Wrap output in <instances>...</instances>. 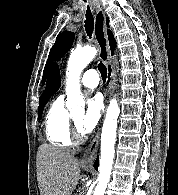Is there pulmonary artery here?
<instances>
[{
    "instance_id": "obj_1",
    "label": "pulmonary artery",
    "mask_w": 178,
    "mask_h": 195,
    "mask_svg": "<svg viewBox=\"0 0 178 195\" xmlns=\"http://www.w3.org/2000/svg\"><path fill=\"white\" fill-rule=\"evenodd\" d=\"M99 84V74L96 70H87L81 78V85L86 88H96Z\"/></svg>"
}]
</instances>
